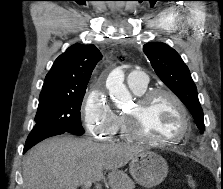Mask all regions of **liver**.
I'll list each match as a JSON object with an SVG mask.
<instances>
[{
    "label": "liver",
    "instance_id": "obj_1",
    "mask_svg": "<svg viewBox=\"0 0 223 189\" xmlns=\"http://www.w3.org/2000/svg\"><path fill=\"white\" fill-rule=\"evenodd\" d=\"M145 151L130 144H101L90 139L49 138L28 151L23 164V189H77L86 181L104 179L112 189H126L127 175L119 170Z\"/></svg>",
    "mask_w": 223,
    "mask_h": 189
}]
</instances>
